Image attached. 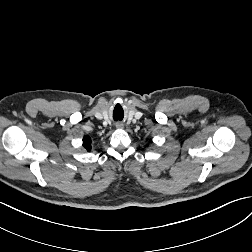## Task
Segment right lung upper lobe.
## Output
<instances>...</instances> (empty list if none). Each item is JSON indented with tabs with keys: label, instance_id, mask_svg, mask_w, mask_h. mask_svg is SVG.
I'll return each mask as SVG.
<instances>
[{
	"label": "right lung upper lobe",
	"instance_id": "1",
	"mask_svg": "<svg viewBox=\"0 0 252 252\" xmlns=\"http://www.w3.org/2000/svg\"><path fill=\"white\" fill-rule=\"evenodd\" d=\"M83 147L87 150L90 151L91 150V139L89 136H85L83 138Z\"/></svg>",
	"mask_w": 252,
	"mask_h": 252
}]
</instances>
